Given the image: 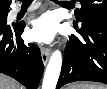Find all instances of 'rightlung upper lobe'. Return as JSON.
<instances>
[{
    "label": "right lung upper lobe",
    "instance_id": "cb5924a9",
    "mask_svg": "<svg viewBox=\"0 0 107 89\" xmlns=\"http://www.w3.org/2000/svg\"><path fill=\"white\" fill-rule=\"evenodd\" d=\"M11 2L9 0H0V13L8 12Z\"/></svg>",
    "mask_w": 107,
    "mask_h": 89
}]
</instances>
